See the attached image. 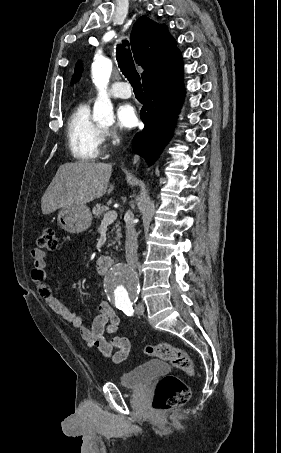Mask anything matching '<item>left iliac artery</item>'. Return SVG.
I'll list each match as a JSON object with an SVG mask.
<instances>
[{"label":"left iliac artery","instance_id":"1","mask_svg":"<svg viewBox=\"0 0 281 453\" xmlns=\"http://www.w3.org/2000/svg\"><path fill=\"white\" fill-rule=\"evenodd\" d=\"M117 308L122 310L127 316L133 315L134 310L132 308V304L118 306Z\"/></svg>","mask_w":281,"mask_h":453}]
</instances>
